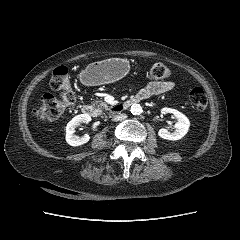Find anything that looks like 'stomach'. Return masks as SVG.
I'll use <instances>...</instances> for the list:
<instances>
[{"instance_id":"1","label":"stomach","mask_w":240,"mask_h":240,"mask_svg":"<svg viewBox=\"0 0 240 240\" xmlns=\"http://www.w3.org/2000/svg\"><path fill=\"white\" fill-rule=\"evenodd\" d=\"M128 64L122 59L110 58L89 64L81 73L88 85L115 82L127 74Z\"/></svg>"}]
</instances>
